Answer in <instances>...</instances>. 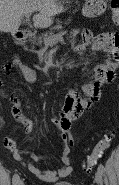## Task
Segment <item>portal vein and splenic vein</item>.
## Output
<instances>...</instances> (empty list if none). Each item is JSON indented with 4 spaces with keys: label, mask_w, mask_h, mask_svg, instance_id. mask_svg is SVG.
Returning <instances> with one entry per match:
<instances>
[{
    "label": "portal vein and splenic vein",
    "mask_w": 119,
    "mask_h": 185,
    "mask_svg": "<svg viewBox=\"0 0 119 185\" xmlns=\"http://www.w3.org/2000/svg\"><path fill=\"white\" fill-rule=\"evenodd\" d=\"M29 16H30V13H26V14H25V17H26V18H29ZM66 33H67V31L64 30V31H62V32H60V33H58V34L52 36V37L46 38V39L44 40L45 46L48 47V46H52V45L56 44Z\"/></svg>",
    "instance_id": "1"
}]
</instances>
